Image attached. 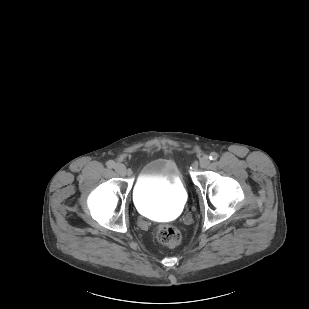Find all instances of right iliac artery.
<instances>
[{"label":"right iliac artery","mask_w":309,"mask_h":309,"mask_svg":"<svg viewBox=\"0 0 309 309\" xmlns=\"http://www.w3.org/2000/svg\"><path fill=\"white\" fill-rule=\"evenodd\" d=\"M106 165L108 168H114L115 162L113 160H109L107 161Z\"/></svg>","instance_id":"right-iliac-artery-1"}]
</instances>
